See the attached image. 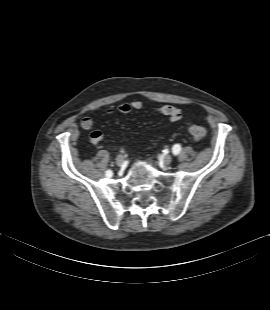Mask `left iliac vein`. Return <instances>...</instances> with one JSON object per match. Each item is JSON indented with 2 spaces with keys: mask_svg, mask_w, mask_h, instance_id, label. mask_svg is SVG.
<instances>
[{
  "mask_svg": "<svg viewBox=\"0 0 270 310\" xmlns=\"http://www.w3.org/2000/svg\"><path fill=\"white\" fill-rule=\"evenodd\" d=\"M165 165H169L172 162V157L170 155H166L163 159Z\"/></svg>",
  "mask_w": 270,
  "mask_h": 310,
  "instance_id": "4c4485c4",
  "label": "left iliac vein"
}]
</instances>
